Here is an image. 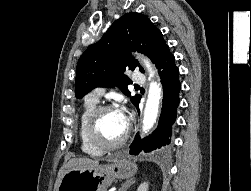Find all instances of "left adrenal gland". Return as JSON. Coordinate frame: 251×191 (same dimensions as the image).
Segmentation results:
<instances>
[{
  "instance_id": "1",
  "label": "left adrenal gland",
  "mask_w": 251,
  "mask_h": 191,
  "mask_svg": "<svg viewBox=\"0 0 251 191\" xmlns=\"http://www.w3.org/2000/svg\"><path fill=\"white\" fill-rule=\"evenodd\" d=\"M136 179H127L125 183H122V187H119V191H127L128 187L132 185V183H135Z\"/></svg>"
}]
</instances>
